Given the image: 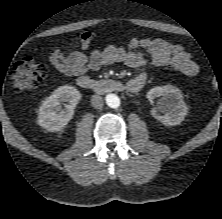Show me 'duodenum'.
<instances>
[{
    "instance_id": "duodenum-1",
    "label": "duodenum",
    "mask_w": 222,
    "mask_h": 219,
    "mask_svg": "<svg viewBox=\"0 0 222 219\" xmlns=\"http://www.w3.org/2000/svg\"><path fill=\"white\" fill-rule=\"evenodd\" d=\"M77 84L84 89L91 90L94 92L102 93L107 91H130L137 92L139 91L143 84L138 81H130L128 83L121 82L115 79L108 80H92L89 77H79L77 79Z\"/></svg>"
}]
</instances>
